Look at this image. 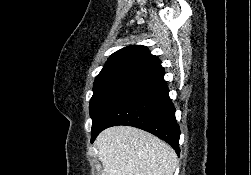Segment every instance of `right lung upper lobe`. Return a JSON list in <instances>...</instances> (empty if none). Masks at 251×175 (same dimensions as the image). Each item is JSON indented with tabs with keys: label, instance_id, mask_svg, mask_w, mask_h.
<instances>
[{
	"label": "right lung upper lobe",
	"instance_id": "right-lung-upper-lobe-1",
	"mask_svg": "<svg viewBox=\"0 0 251 175\" xmlns=\"http://www.w3.org/2000/svg\"><path fill=\"white\" fill-rule=\"evenodd\" d=\"M165 73L158 57L152 55L143 45H132L113 53L95 81L117 76H129L145 80Z\"/></svg>",
	"mask_w": 251,
	"mask_h": 175
}]
</instances>
